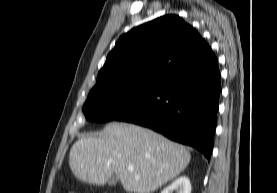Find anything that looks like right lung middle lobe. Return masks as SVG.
Instances as JSON below:
<instances>
[{"mask_svg": "<svg viewBox=\"0 0 277 193\" xmlns=\"http://www.w3.org/2000/svg\"><path fill=\"white\" fill-rule=\"evenodd\" d=\"M156 90L155 87L126 86L90 92L83 112L89 121L119 120L124 114L144 103Z\"/></svg>", "mask_w": 277, "mask_h": 193, "instance_id": "1", "label": "right lung middle lobe"}]
</instances>
